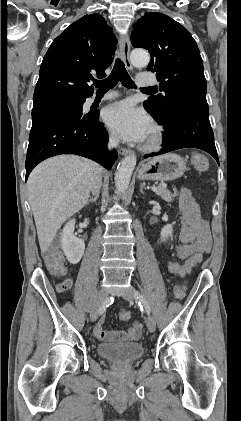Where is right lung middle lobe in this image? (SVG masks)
I'll use <instances>...</instances> for the list:
<instances>
[{"label":"right lung middle lobe","instance_id":"dd1d6c3e","mask_svg":"<svg viewBox=\"0 0 241 421\" xmlns=\"http://www.w3.org/2000/svg\"><path fill=\"white\" fill-rule=\"evenodd\" d=\"M60 102H61V100H57V101H50V102H45V103H42V104H39V105L33 106L32 116H33V115H35L36 113H38V112L42 111V110H45V109H47V108H50V107H52V106L57 105V104H58V103H60ZM83 115H84V116H89V115H90V113H88V114H83Z\"/></svg>","mask_w":241,"mask_h":421}]
</instances>
